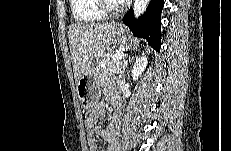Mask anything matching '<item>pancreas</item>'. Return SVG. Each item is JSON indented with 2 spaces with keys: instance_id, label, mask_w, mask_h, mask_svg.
<instances>
[{
  "instance_id": "pancreas-1",
  "label": "pancreas",
  "mask_w": 231,
  "mask_h": 151,
  "mask_svg": "<svg viewBox=\"0 0 231 151\" xmlns=\"http://www.w3.org/2000/svg\"><path fill=\"white\" fill-rule=\"evenodd\" d=\"M121 66H122L121 59L114 61L111 59V56L106 57L103 60H101L98 66V77L100 79H103L108 75L115 74L120 71Z\"/></svg>"
}]
</instances>
